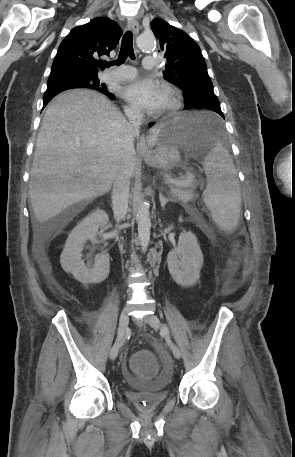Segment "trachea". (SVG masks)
Returning <instances> with one entry per match:
<instances>
[{"label": "trachea", "mask_w": 295, "mask_h": 457, "mask_svg": "<svg viewBox=\"0 0 295 457\" xmlns=\"http://www.w3.org/2000/svg\"><path fill=\"white\" fill-rule=\"evenodd\" d=\"M127 57H130L132 60L135 59L134 49H133V35L131 31H127L121 43V49L119 52L118 59L115 62H107L106 67H110L113 64L121 65L125 62Z\"/></svg>", "instance_id": "trachea-1"}]
</instances>
